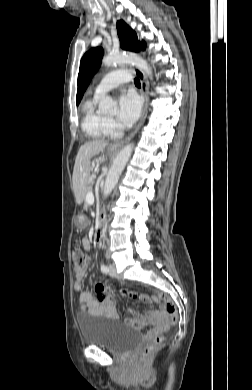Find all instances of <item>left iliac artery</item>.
I'll list each match as a JSON object with an SVG mask.
<instances>
[{"instance_id": "1", "label": "left iliac artery", "mask_w": 252, "mask_h": 390, "mask_svg": "<svg viewBox=\"0 0 252 390\" xmlns=\"http://www.w3.org/2000/svg\"><path fill=\"white\" fill-rule=\"evenodd\" d=\"M101 271L103 273H108L109 269H108V267L105 264H101Z\"/></svg>"}]
</instances>
